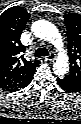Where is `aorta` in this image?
I'll return each mask as SVG.
<instances>
[{"instance_id": "obj_1", "label": "aorta", "mask_w": 81, "mask_h": 124, "mask_svg": "<svg viewBox=\"0 0 81 124\" xmlns=\"http://www.w3.org/2000/svg\"><path fill=\"white\" fill-rule=\"evenodd\" d=\"M31 30L36 37L52 43L60 51L55 64L53 65L54 74L64 76L69 69L68 56L63 49L61 34L54 24L46 20H38L32 24Z\"/></svg>"}]
</instances>
